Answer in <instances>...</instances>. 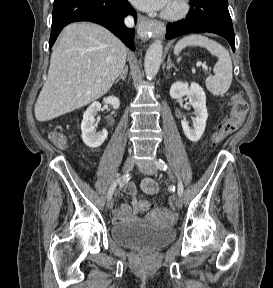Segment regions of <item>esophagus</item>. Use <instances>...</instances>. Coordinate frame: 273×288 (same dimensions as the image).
Here are the masks:
<instances>
[{"mask_svg":"<svg viewBox=\"0 0 273 288\" xmlns=\"http://www.w3.org/2000/svg\"><path fill=\"white\" fill-rule=\"evenodd\" d=\"M138 32L143 38H147L149 32L154 35H163L165 26L162 22L151 20L144 15L138 16Z\"/></svg>","mask_w":273,"mask_h":288,"instance_id":"obj_1","label":"esophagus"}]
</instances>
